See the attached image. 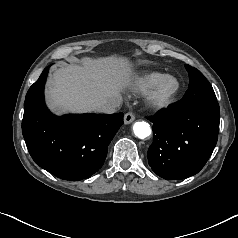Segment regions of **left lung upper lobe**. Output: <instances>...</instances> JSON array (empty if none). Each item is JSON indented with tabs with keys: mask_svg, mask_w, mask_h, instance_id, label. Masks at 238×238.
<instances>
[{
	"mask_svg": "<svg viewBox=\"0 0 238 238\" xmlns=\"http://www.w3.org/2000/svg\"><path fill=\"white\" fill-rule=\"evenodd\" d=\"M189 74V87L184 97L177 102L180 111H187L196 106L217 103L214 90L203 74L190 65H185Z\"/></svg>",
	"mask_w": 238,
	"mask_h": 238,
	"instance_id": "1",
	"label": "left lung upper lobe"
}]
</instances>
